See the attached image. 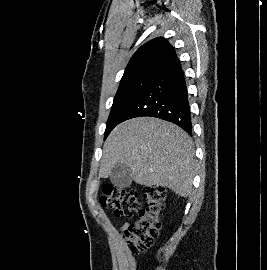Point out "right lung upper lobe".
Segmentation results:
<instances>
[{
  "label": "right lung upper lobe",
  "mask_w": 267,
  "mask_h": 270,
  "mask_svg": "<svg viewBox=\"0 0 267 270\" xmlns=\"http://www.w3.org/2000/svg\"><path fill=\"white\" fill-rule=\"evenodd\" d=\"M177 58L173 46L164 38L158 37L142 45L131 57L121 83L132 78L154 74Z\"/></svg>",
  "instance_id": "obj_1"
}]
</instances>
